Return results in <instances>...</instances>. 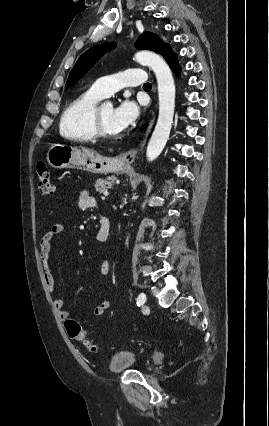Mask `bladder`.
I'll use <instances>...</instances> for the list:
<instances>
[{
	"label": "bladder",
	"mask_w": 269,
	"mask_h": 426,
	"mask_svg": "<svg viewBox=\"0 0 269 426\" xmlns=\"http://www.w3.org/2000/svg\"><path fill=\"white\" fill-rule=\"evenodd\" d=\"M136 362V353L129 350H118L111 355L108 369L113 373H120L133 368Z\"/></svg>",
	"instance_id": "bladder-1"
}]
</instances>
